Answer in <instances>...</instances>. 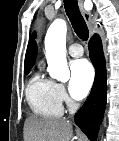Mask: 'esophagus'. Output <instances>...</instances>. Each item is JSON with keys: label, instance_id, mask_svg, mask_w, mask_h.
<instances>
[{"label": "esophagus", "instance_id": "1", "mask_svg": "<svg viewBox=\"0 0 119 141\" xmlns=\"http://www.w3.org/2000/svg\"><path fill=\"white\" fill-rule=\"evenodd\" d=\"M78 4H79L81 14L89 27V35H90V37H92L94 34L93 17L88 11L85 10V8L83 6V0H78Z\"/></svg>", "mask_w": 119, "mask_h": 141}]
</instances>
